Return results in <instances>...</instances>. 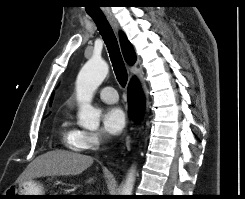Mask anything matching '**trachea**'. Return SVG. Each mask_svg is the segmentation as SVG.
I'll return each mask as SVG.
<instances>
[{"mask_svg":"<svg viewBox=\"0 0 245 199\" xmlns=\"http://www.w3.org/2000/svg\"><path fill=\"white\" fill-rule=\"evenodd\" d=\"M91 17L96 23L98 30L100 31L107 46L116 78L120 85L125 87L128 75L115 34L104 15H96Z\"/></svg>","mask_w":245,"mask_h":199,"instance_id":"obj_1","label":"trachea"}]
</instances>
